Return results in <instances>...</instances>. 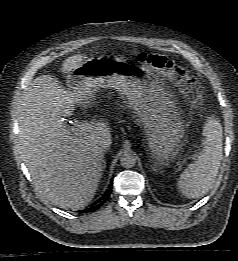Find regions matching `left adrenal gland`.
Returning <instances> with one entry per match:
<instances>
[{
	"instance_id": "1",
	"label": "left adrenal gland",
	"mask_w": 238,
	"mask_h": 261,
	"mask_svg": "<svg viewBox=\"0 0 238 261\" xmlns=\"http://www.w3.org/2000/svg\"><path fill=\"white\" fill-rule=\"evenodd\" d=\"M152 170H153V171H156V169H155V168H152Z\"/></svg>"
}]
</instances>
